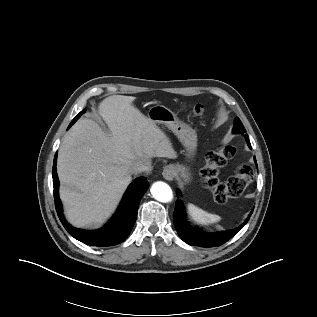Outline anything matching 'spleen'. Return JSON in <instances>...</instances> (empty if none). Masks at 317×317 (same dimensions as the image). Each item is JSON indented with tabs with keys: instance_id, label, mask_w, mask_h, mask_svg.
Returning <instances> with one entry per match:
<instances>
[{
	"instance_id": "3e777b00",
	"label": "spleen",
	"mask_w": 317,
	"mask_h": 317,
	"mask_svg": "<svg viewBox=\"0 0 317 317\" xmlns=\"http://www.w3.org/2000/svg\"><path fill=\"white\" fill-rule=\"evenodd\" d=\"M188 214L194 222L200 225H210L221 220L220 216L208 213L193 204H188Z\"/></svg>"
}]
</instances>
